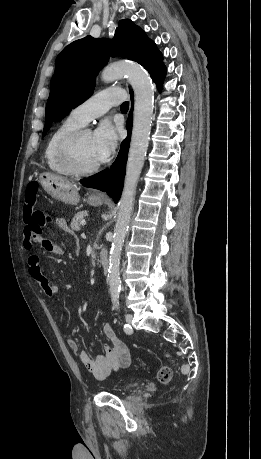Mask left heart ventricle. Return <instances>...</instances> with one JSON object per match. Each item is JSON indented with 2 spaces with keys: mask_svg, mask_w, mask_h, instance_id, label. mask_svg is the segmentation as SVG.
<instances>
[{
  "mask_svg": "<svg viewBox=\"0 0 261 459\" xmlns=\"http://www.w3.org/2000/svg\"><path fill=\"white\" fill-rule=\"evenodd\" d=\"M76 156L82 168H91L99 164L91 131L85 132L80 138Z\"/></svg>",
  "mask_w": 261,
  "mask_h": 459,
  "instance_id": "left-heart-ventricle-1",
  "label": "left heart ventricle"
}]
</instances>
